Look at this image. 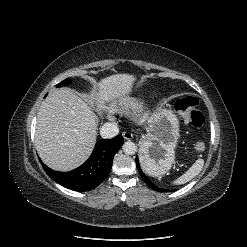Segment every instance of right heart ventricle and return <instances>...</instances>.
Returning a JSON list of instances; mask_svg holds the SVG:
<instances>
[{
  "label": "right heart ventricle",
  "instance_id": "right-heart-ventricle-1",
  "mask_svg": "<svg viewBox=\"0 0 247 247\" xmlns=\"http://www.w3.org/2000/svg\"><path fill=\"white\" fill-rule=\"evenodd\" d=\"M138 103H139L138 97H125L117 101L113 107L117 110H127L137 106Z\"/></svg>",
  "mask_w": 247,
  "mask_h": 247
}]
</instances>
